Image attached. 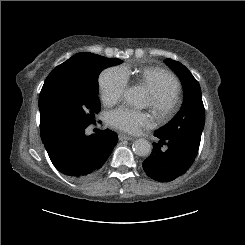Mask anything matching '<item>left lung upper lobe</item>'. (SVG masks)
I'll list each match as a JSON object with an SVG mask.
<instances>
[{
  "mask_svg": "<svg viewBox=\"0 0 245 245\" xmlns=\"http://www.w3.org/2000/svg\"><path fill=\"white\" fill-rule=\"evenodd\" d=\"M178 75L184 89V103L176 116L157 132L163 136L189 141L199 147L205 122L201 89L190 71L178 61L165 59Z\"/></svg>",
  "mask_w": 245,
  "mask_h": 245,
  "instance_id": "obj_1",
  "label": "left lung upper lobe"
}]
</instances>
